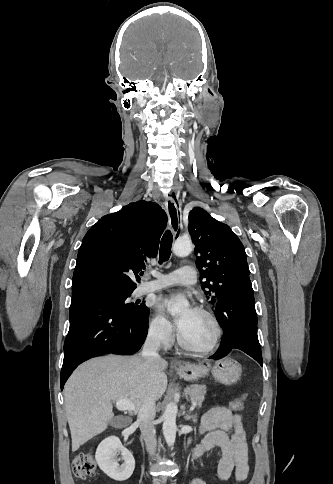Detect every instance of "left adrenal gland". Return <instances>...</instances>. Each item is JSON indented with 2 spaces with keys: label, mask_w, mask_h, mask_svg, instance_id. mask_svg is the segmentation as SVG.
<instances>
[{
  "label": "left adrenal gland",
  "mask_w": 333,
  "mask_h": 484,
  "mask_svg": "<svg viewBox=\"0 0 333 484\" xmlns=\"http://www.w3.org/2000/svg\"><path fill=\"white\" fill-rule=\"evenodd\" d=\"M183 414H184V412H183ZM184 418L186 420H192L193 422H196L198 417H197V415H185Z\"/></svg>",
  "instance_id": "a2214340"
}]
</instances>
